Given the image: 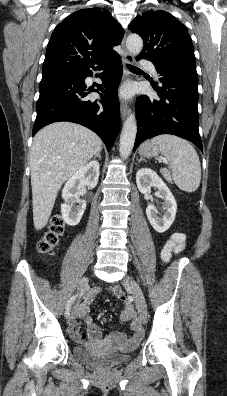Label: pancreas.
<instances>
[{"label":"pancreas","mask_w":227,"mask_h":396,"mask_svg":"<svg viewBox=\"0 0 227 396\" xmlns=\"http://www.w3.org/2000/svg\"><path fill=\"white\" fill-rule=\"evenodd\" d=\"M165 175V178H166V180L168 181V182H172V179H171V177H170V175H168V174H164Z\"/></svg>","instance_id":"obj_1"}]
</instances>
